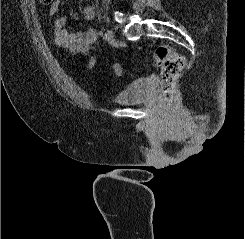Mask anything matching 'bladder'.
Here are the masks:
<instances>
[{
  "label": "bladder",
  "mask_w": 245,
  "mask_h": 239,
  "mask_svg": "<svg viewBox=\"0 0 245 239\" xmlns=\"http://www.w3.org/2000/svg\"><path fill=\"white\" fill-rule=\"evenodd\" d=\"M155 82L151 78H143L131 82L122 88L116 102L122 105H132L142 102L146 97L151 95Z\"/></svg>",
  "instance_id": "bladder-1"
}]
</instances>
